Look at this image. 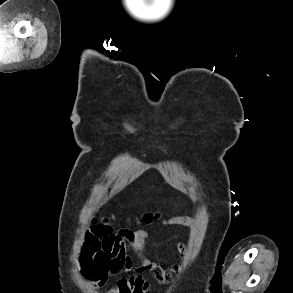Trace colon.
Returning a JSON list of instances; mask_svg holds the SVG:
<instances>
[{
  "label": "colon",
  "mask_w": 293,
  "mask_h": 293,
  "mask_svg": "<svg viewBox=\"0 0 293 293\" xmlns=\"http://www.w3.org/2000/svg\"><path fill=\"white\" fill-rule=\"evenodd\" d=\"M162 214L159 212H147L141 216V221L146 224L152 223L155 220H159ZM94 228H109L107 221H93Z\"/></svg>",
  "instance_id": "colon-1"
}]
</instances>
